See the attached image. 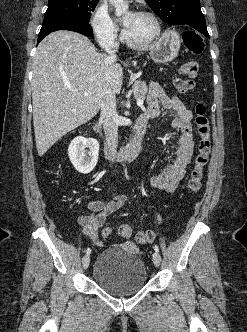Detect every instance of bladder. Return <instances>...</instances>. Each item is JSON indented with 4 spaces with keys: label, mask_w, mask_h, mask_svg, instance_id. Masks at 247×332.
I'll return each mask as SVG.
<instances>
[{
    "label": "bladder",
    "mask_w": 247,
    "mask_h": 332,
    "mask_svg": "<svg viewBox=\"0 0 247 332\" xmlns=\"http://www.w3.org/2000/svg\"><path fill=\"white\" fill-rule=\"evenodd\" d=\"M133 248L130 244H115L98 255L92 275L101 289L111 295L124 297L145 287L147 268Z\"/></svg>",
    "instance_id": "obj_1"
}]
</instances>
